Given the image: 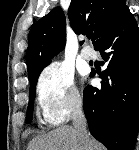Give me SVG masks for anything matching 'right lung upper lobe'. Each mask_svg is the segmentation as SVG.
Here are the masks:
<instances>
[{
    "label": "right lung upper lobe",
    "instance_id": "obj_1",
    "mask_svg": "<svg viewBox=\"0 0 139 150\" xmlns=\"http://www.w3.org/2000/svg\"><path fill=\"white\" fill-rule=\"evenodd\" d=\"M127 10L125 0H71L68 18L76 34L92 31L96 48ZM65 43V15L60 7H56L29 32L26 55L29 80L63 50Z\"/></svg>",
    "mask_w": 139,
    "mask_h": 150
}]
</instances>
